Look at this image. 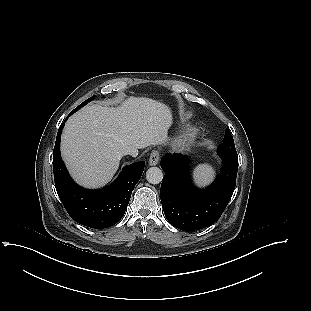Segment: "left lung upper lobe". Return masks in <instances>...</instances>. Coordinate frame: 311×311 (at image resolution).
Masks as SVG:
<instances>
[{"label":"left lung upper lobe","mask_w":311,"mask_h":311,"mask_svg":"<svg viewBox=\"0 0 311 311\" xmlns=\"http://www.w3.org/2000/svg\"><path fill=\"white\" fill-rule=\"evenodd\" d=\"M218 148H219V150H224L227 152H235L236 153L234 140H233V137L230 134L229 130H226V134H225V137L223 139V142L219 145Z\"/></svg>","instance_id":"left-lung-upper-lobe-1"}]
</instances>
